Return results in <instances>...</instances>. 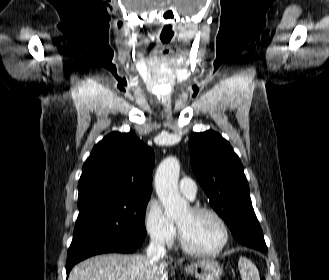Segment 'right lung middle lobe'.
Listing matches in <instances>:
<instances>
[{
  "mask_svg": "<svg viewBox=\"0 0 329 280\" xmlns=\"http://www.w3.org/2000/svg\"><path fill=\"white\" fill-rule=\"evenodd\" d=\"M150 196L78 200L79 215L68 254L96 240L140 246L146 236L145 209Z\"/></svg>",
  "mask_w": 329,
  "mask_h": 280,
  "instance_id": "dd1d6c3e",
  "label": "right lung middle lobe"
}]
</instances>
